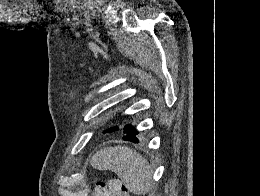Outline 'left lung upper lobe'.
<instances>
[{
    "mask_svg": "<svg viewBox=\"0 0 260 196\" xmlns=\"http://www.w3.org/2000/svg\"><path fill=\"white\" fill-rule=\"evenodd\" d=\"M118 130H119V127L115 126V127H112V128L105 130L104 133H110V132H114V131H118Z\"/></svg>",
    "mask_w": 260,
    "mask_h": 196,
    "instance_id": "5c2ea615",
    "label": "left lung upper lobe"
}]
</instances>
